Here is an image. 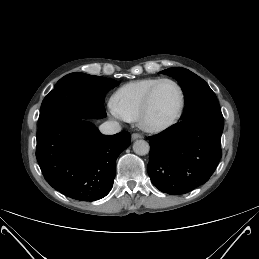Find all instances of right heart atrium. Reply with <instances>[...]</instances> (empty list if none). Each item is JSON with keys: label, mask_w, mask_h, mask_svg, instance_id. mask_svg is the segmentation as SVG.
I'll return each mask as SVG.
<instances>
[{"label": "right heart atrium", "mask_w": 259, "mask_h": 259, "mask_svg": "<svg viewBox=\"0 0 259 259\" xmlns=\"http://www.w3.org/2000/svg\"><path fill=\"white\" fill-rule=\"evenodd\" d=\"M108 109H109V113L112 117H114L116 119H123L122 116L119 114L118 110L116 109L113 102H110L108 104Z\"/></svg>", "instance_id": "1"}]
</instances>
